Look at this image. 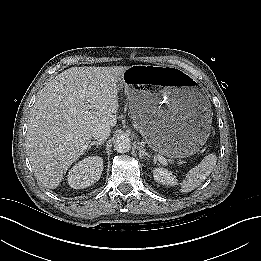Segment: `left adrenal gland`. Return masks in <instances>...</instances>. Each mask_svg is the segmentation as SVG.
Returning <instances> with one entry per match:
<instances>
[{
  "instance_id": "a2214340",
  "label": "left adrenal gland",
  "mask_w": 261,
  "mask_h": 261,
  "mask_svg": "<svg viewBox=\"0 0 261 261\" xmlns=\"http://www.w3.org/2000/svg\"><path fill=\"white\" fill-rule=\"evenodd\" d=\"M137 149L139 151L140 158H144V157L150 158V154L146 152L145 148L142 145L138 144Z\"/></svg>"
}]
</instances>
